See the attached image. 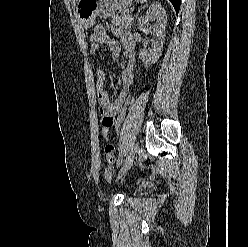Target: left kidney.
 I'll return each mask as SVG.
<instances>
[{"instance_id": "obj_1", "label": "left kidney", "mask_w": 248, "mask_h": 247, "mask_svg": "<svg viewBox=\"0 0 248 247\" xmlns=\"http://www.w3.org/2000/svg\"><path fill=\"white\" fill-rule=\"evenodd\" d=\"M153 21L155 24L152 27H149L148 23ZM166 24V12L159 3H153L146 11L145 15L140 17L138 21V29L140 31L146 34L153 33L155 35L152 49H141L139 52V58L146 67L155 64L161 56L165 40Z\"/></svg>"}]
</instances>
